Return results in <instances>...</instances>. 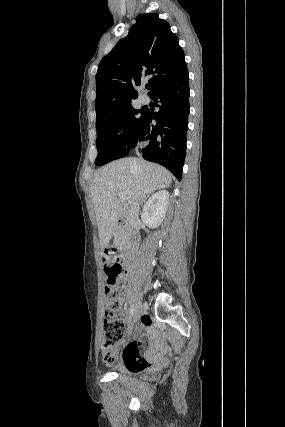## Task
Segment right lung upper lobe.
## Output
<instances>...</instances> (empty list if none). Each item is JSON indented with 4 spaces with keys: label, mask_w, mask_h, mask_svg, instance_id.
Instances as JSON below:
<instances>
[{
    "label": "right lung upper lobe",
    "mask_w": 285,
    "mask_h": 427,
    "mask_svg": "<svg viewBox=\"0 0 285 427\" xmlns=\"http://www.w3.org/2000/svg\"><path fill=\"white\" fill-rule=\"evenodd\" d=\"M187 71L184 52L170 25L156 13L136 18L129 34L99 63L96 74V124L131 106L134 89L145 79L149 95Z\"/></svg>",
    "instance_id": "obj_1"
}]
</instances>
